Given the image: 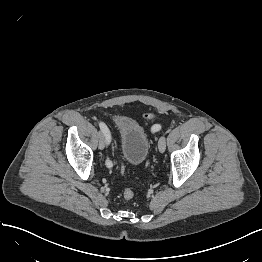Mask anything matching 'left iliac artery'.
I'll return each instance as SVG.
<instances>
[{"label": "left iliac artery", "instance_id": "obj_1", "mask_svg": "<svg viewBox=\"0 0 262 262\" xmlns=\"http://www.w3.org/2000/svg\"><path fill=\"white\" fill-rule=\"evenodd\" d=\"M152 128H153V130L158 131V130L161 129V126L157 124V125H154Z\"/></svg>", "mask_w": 262, "mask_h": 262}]
</instances>
